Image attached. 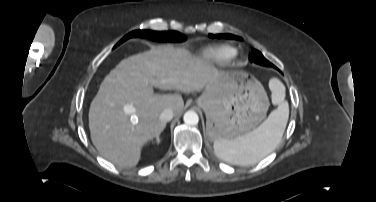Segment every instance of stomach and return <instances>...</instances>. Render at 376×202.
Listing matches in <instances>:
<instances>
[{
    "label": "stomach",
    "instance_id": "0dacf381",
    "mask_svg": "<svg viewBox=\"0 0 376 202\" xmlns=\"http://www.w3.org/2000/svg\"><path fill=\"white\" fill-rule=\"evenodd\" d=\"M196 103L206 114L207 134L214 141L249 133L265 118L269 107L260 82L240 71L220 72Z\"/></svg>",
    "mask_w": 376,
    "mask_h": 202
}]
</instances>
